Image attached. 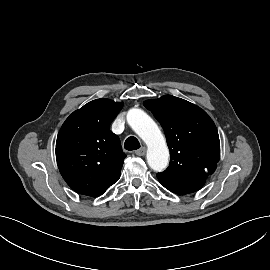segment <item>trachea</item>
Wrapping results in <instances>:
<instances>
[{"instance_id": "trachea-1", "label": "trachea", "mask_w": 270, "mask_h": 270, "mask_svg": "<svg viewBox=\"0 0 270 270\" xmlns=\"http://www.w3.org/2000/svg\"><path fill=\"white\" fill-rule=\"evenodd\" d=\"M124 147L129 151L137 150L140 148V143L137 138L130 136L126 139Z\"/></svg>"}]
</instances>
